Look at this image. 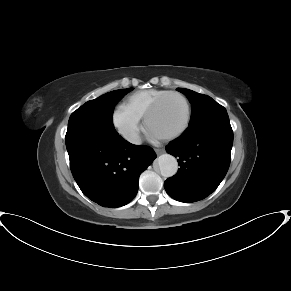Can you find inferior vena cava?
Instances as JSON below:
<instances>
[{"mask_svg":"<svg viewBox=\"0 0 291 291\" xmlns=\"http://www.w3.org/2000/svg\"><path fill=\"white\" fill-rule=\"evenodd\" d=\"M130 142L133 144H141V138L139 137V135L134 134L131 136Z\"/></svg>","mask_w":291,"mask_h":291,"instance_id":"1","label":"inferior vena cava"}]
</instances>
